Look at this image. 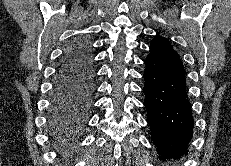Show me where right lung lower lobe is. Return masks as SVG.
<instances>
[{
	"instance_id": "98d812e1",
	"label": "right lung lower lobe",
	"mask_w": 231,
	"mask_h": 166,
	"mask_svg": "<svg viewBox=\"0 0 231 166\" xmlns=\"http://www.w3.org/2000/svg\"><path fill=\"white\" fill-rule=\"evenodd\" d=\"M93 75L90 41L77 37L61 58L50 96L48 127L54 135H73L82 129L92 102Z\"/></svg>"
}]
</instances>
